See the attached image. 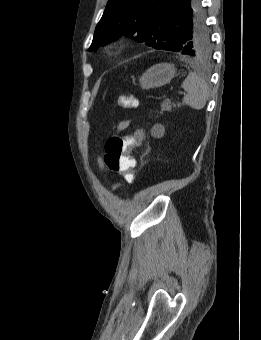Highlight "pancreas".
I'll list each match as a JSON object with an SVG mask.
<instances>
[{
	"label": "pancreas",
	"instance_id": "1",
	"mask_svg": "<svg viewBox=\"0 0 261 340\" xmlns=\"http://www.w3.org/2000/svg\"><path fill=\"white\" fill-rule=\"evenodd\" d=\"M176 107L175 103H171L169 100L164 101L163 103H161V112L163 113L164 111H171V108Z\"/></svg>",
	"mask_w": 261,
	"mask_h": 340
}]
</instances>
